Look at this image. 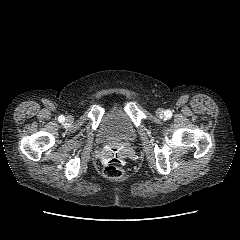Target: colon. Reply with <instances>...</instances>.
<instances>
[{
	"mask_svg": "<svg viewBox=\"0 0 240 240\" xmlns=\"http://www.w3.org/2000/svg\"><path fill=\"white\" fill-rule=\"evenodd\" d=\"M103 174L112 180L120 179L124 175L123 161L117 154L108 158L103 167Z\"/></svg>",
	"mask_w": 240,
	"mask_h": 240,
	"instance_id": "1",
	"label": "colon"
}]
</instances>
